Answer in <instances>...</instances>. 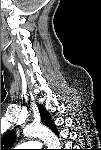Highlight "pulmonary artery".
Wrapping results in <instances>:
<instances>
[{"label":"pulmonary artery","instance_id":"obj_1","mask_svg":"<svg viewBox=\"0 0 101 150\" xmlns=\"http://www.w3.org/2000/svg\"><path fill=\"white\" fill-rule=\"evenodd\" d=\"M40 144L38 142H27L21 145V147L25 148H38Z\"/></svg>","mask_w":101,"mask_h":150}]
</instances>
